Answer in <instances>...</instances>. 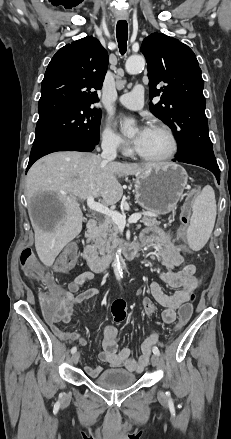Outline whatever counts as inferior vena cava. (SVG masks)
<instances>
[{"label":"inferior vena cava","mask_w":231,"mask_h":439,"mask_svg":"<svg viewBox=\"0 0 231 439\" xmlns=\"http://www.w3.org/2000/svg\"><path fill=\"white\" fill-rule=\"evenodd\" d=\"M102 153L101 158L103 160L112 161L117 156V147L116 143L113 141H103L102 142Z\"/></svg>","instance_id":"602c4592"}]
</instances>
